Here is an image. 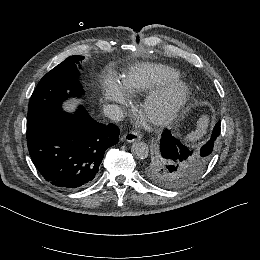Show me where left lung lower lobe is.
I'll use <instances>...</instances> for the list:
<instances>
[{
	"label": "left lung lower lobe",
	"mask_w": 260,
	"mask_h": 260,
	"mask_svg": "<svg viewBox=\"0 0 260 260\" xmlns=\"http://www.w3.org/2000/svg\"><path fill=\"white\" fill-rule=\"evenodd\" d=\"M220 121L215 125L210 140L201 147V152L205 154L212 153L214 144L220 134ZM160 152L167 160H177L191 154L193 150L182 145L179 140L175 139L169 130H165L162 134L160 142Z\"/></svg>",
	"instance_id": "obj_1"
}]
</instances>
